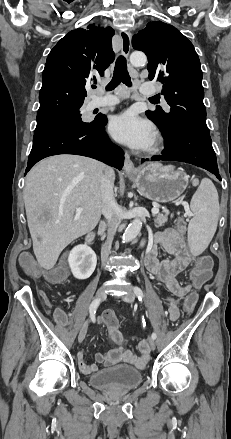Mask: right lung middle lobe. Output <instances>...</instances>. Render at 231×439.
Returning a JSON list of instances; mask_svg holds the SVG:
<instances>
[{
  "label": "right lung middle lobe",
  "mask_w": 231,
  "mask_h": 439,
  "mask_svg": "<svg viewBox=\"0 0 231 439\" xmlns=\"http://www.w3.org/2000/svg\"><path fill=\"white\" fill-rule=\"evenodd\" d=\"M94 123L95 120L92 122H83L81 120V114L78 108V109L68 110L58 114H54L45 118L37 119V126L35 129V133H39L41 131L59 126L87 128L93 125Z\"/></svg>",
  "instance_id": "right-lung-middle-lobe-1"
}]
</instances>
